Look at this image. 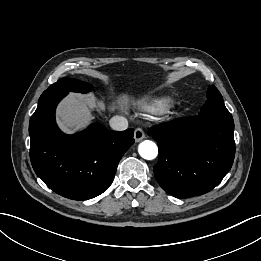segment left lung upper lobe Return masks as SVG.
I'll list each match as a JSON object with an SVG mask.
<instances>
[{
	"mask_svg": "<svg viewBox=\"0 0 261 261\" xmlns=\"http://www.w3.org/2000/svg\"><path fill=\"white\" fill-rule=\"evenodd\" d=\"M199 115L214 117H232L224 105L222 95L213 85L208 87L207 101L201 108Z\"/></svg>",
	"mask_w": 261,
	"mask_h": 261,
	"instance_id": "obj_1",
	"label": "left lung upper lobe"
}]
</instances>
